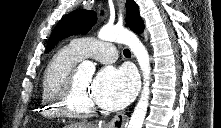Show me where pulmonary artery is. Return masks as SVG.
Returning a JSON list of instances; mask_svg holds the SVG:
<instances>
[{
  "label": "pulmonary artery",
  "instance_id": "obj_1",
  "mask_svg": "<svg viewBox=\"0 0 221 128\" xmlns=\"http://www.w3.org/2000/svg\"><path fill=\"white\" fill-rule=\"evenodd\" d=\"M83 58L92 57L102 63L114 62L118 51L112 41H99L93 37L75 38L70 43Z\"/></svg>",
  "mask_w": 221,
  "mask_h": 128
}]
</instances>
